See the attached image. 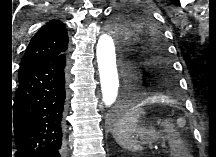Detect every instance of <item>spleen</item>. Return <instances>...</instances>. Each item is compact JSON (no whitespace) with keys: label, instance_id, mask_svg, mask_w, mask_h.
I'll return each instance as SVG.
<instances>
[{"label":"spleen","instance_id":"spleen-1","mask_svg":"<svg viewBox=\"0 0 216 157\" xmlns=\"http://www.w3.org/2000/svg\"><path fill=\"white\" fill-rule=\"evenodd\" d=\"M145 114L144 109H135L122 117L115 125L112 134L122 148L128 151H141L142 145L152 143L161 137V133L156 131L152 126L149 128L138 125L141 115Z\"/></svg>","mask_w":216,"mask_h":157}]
</instances>
